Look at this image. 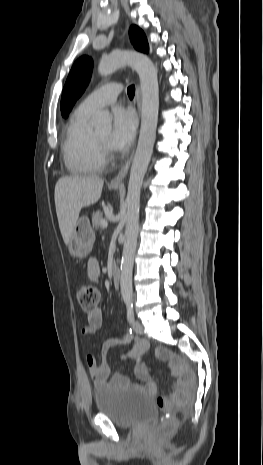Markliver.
Masks as SVG:
<instances>
[{
	"instance_id": "1",
	"label": "liver",
	"mask_w": 263,
	"mask_h": 465,
	"mask_svg": "<svg viewBox=\"0 0 263 465\" xmlns=\"http://www.w3.org/2000/svg\"><path fill=\"white\" fill-rule=\"evenodd\" d=\"M104 180L96 176H65L55 185V206L59 228L68 245L82 208L98 202Z\"/></svg>"
}]
</instances>
